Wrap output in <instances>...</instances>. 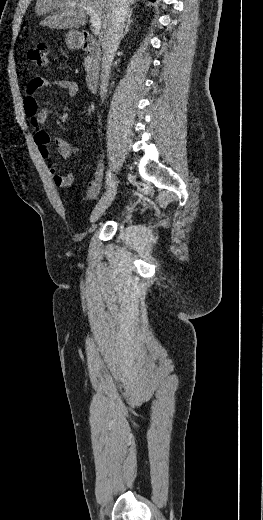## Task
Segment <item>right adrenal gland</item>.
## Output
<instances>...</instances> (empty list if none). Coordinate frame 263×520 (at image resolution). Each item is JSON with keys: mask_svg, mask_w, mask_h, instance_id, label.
Masks as SVG:
<instances>
[{"mask_svg": "<svg viewBox=\"0 0 263 520\" xmlns=\"http://www.w3.org/2000/svg\"><path fill=\"white\" fill-rule=\"evenodd\" d=\"M132 12H133V9H130L129 14H128L127 23H126V26H125L122 38L128 33L129 27H130L131 23L133 22V19H131Z\"/></svg>", "mask_w": 263, "mask_h": 520, "instance_id": "1", "label": "right adrenal gland"}]
</instances>
